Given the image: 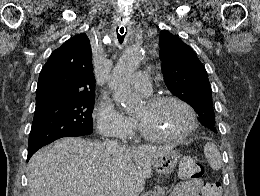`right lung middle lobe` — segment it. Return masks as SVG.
<instances>
[{
	"mask_svg": "<svg viewBox=\"0 0 260 196\" xmlns=\"http://www.w3.org/2000/svg\"><path fill=\"white\" fill-rule=\"evenodd\" d=\"M95 93H83L56 98L36 106L28 150L62 137L91 134Z\"/></svg>",
	"mask_w": 260,
	"mask_h": 196,
	"instance_id": "dd1d6c3e",
	"label": "right lung middle lobe"
}]
</instances>
